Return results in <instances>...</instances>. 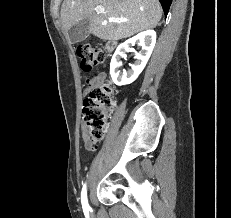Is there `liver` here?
I'll list each match as a JSON object with an SVG mask.
<instances>
[{
    "label": "liver",
    "mask_w": 231,
    "mask_h": 218,
    "mask_svg": "<svg viewBox=\"0 0 231 218\" xmlns=\"http://www.w3.org/2000/svg\"><path fill=\"white\" fill-rule=\"evenodd\" d=\"M104 7L98 13L95 7ZM162 16L158 0H64L61 6V22L68 31L76 22L88 18L89 32L103 40H120L138 32L156 27ZM109 18H125L115 23Z\"/></svg>",
    "instance_id": "liver-1"
}]
</instances>
